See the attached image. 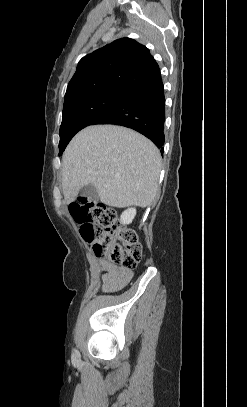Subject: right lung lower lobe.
Instances as JSON below:
<instances>
[{
	"instance_id": "98d812e1",
	"label": "right lung lower lobe",
	"mask_w": 247,
	"mask_h": 407,
	"mask_svg": "<svg viewBox=\"0 0 247 407\" xmlns=\"http://www.w3.org/2000/svg\"><path fill=\"white\" fill-rule=\"evenodd\" d=\"M165 96L161 74L136 89L93 124H116L138 131L164 152Z\"/></svg>"
}]
</instances>
